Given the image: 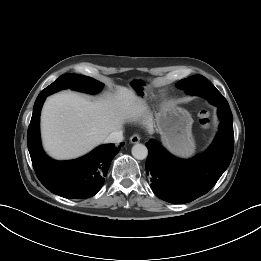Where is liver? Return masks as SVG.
I'll use <instances>...</instances> for the list:
<instances>
[{"label": "liver", "mask_w": 261, "mask_h": 261, "mask_svg": "<svg viewBox=\"0 0 261 261\" xmlns=\"http://www.w3.org/2000/svg\"><path fill=\"white\" fill-rule=\"evenodd\" d=\"M143 117L152 133L154 122L132 88H119L113 97L91 101L73 92L47 98L41 113V135L47 153L59 160L80 157L129 120Z\"/></svg>", "instance_id": "6515ba94"}]
</instances>
